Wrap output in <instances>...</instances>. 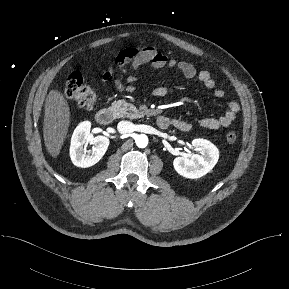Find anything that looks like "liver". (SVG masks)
I'll use <instances>...</instances> for the list:
<instances>
[{
    "instance_id": "1",
    "label": "liver",
    "mask_w": 289,
    "mask_h": 289,
    "mask_svg": "<svg viewBox=\"0 0 289 289\" xmlns=\"http://www.w3.org/2000/svg\"><path fill=\"white\" fill-rule=\"evenodd\" d=\"M70 108L63 94L50 90L45 102L43 137L48 153L57 158L70 125Z\"/></svg>"
}]
</instances>
